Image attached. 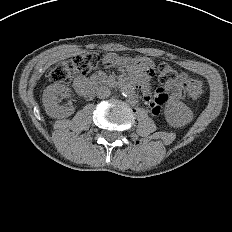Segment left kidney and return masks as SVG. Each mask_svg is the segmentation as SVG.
Returning a JSON list of instances; mask_svg holds the SVG:
<instances>
[{
	"label": "left kidney",
	"mask_w": 232,
	"mask_h": 232,
	"mask_svg": "<svg viewBox=\"0 0 232 232\" xmlns=\"http://www.w3.org/2000/svg\"><path fill=\"white\" fill-rule=\"evenodd\" d=\"M165 119L172 127H182L187 125L193 120L192 110L182 101H173L166 106Z\"/></svg>",
	"instance_id": "5707ae66"
}]
</instances>
